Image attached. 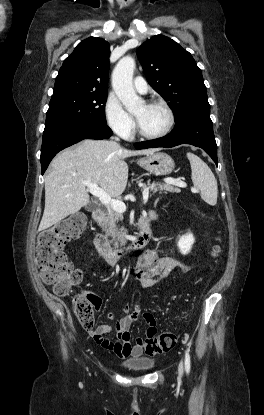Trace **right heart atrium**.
<instances>
[{
  "label": "right heart atrium",
  "mask_w": 264,
  "mask_h": 415,
  "mask_svg": "<svg viewBox=\"0 0 264 415\" xmlns=\"http://www.w3.org/2000/svg\"><path fill=\"white\" fill-rule=\"evenodd\" d=\"M105 115L109 127L117 135L126 139L132 137L135 130L134 120L113 95L108 96L106 100Z\"/></svg>",
  "instance_id": "1"
}]
</instances>
